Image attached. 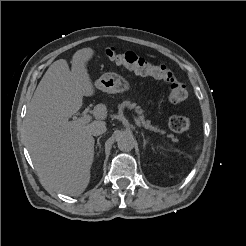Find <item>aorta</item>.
<instances>
[{
    "label": "aorta",
    "mask_w": 246,
    "mask_h": 246,
    "mask_svg": "<svg viewBox=\"0 0 246 246\" xmlns=\"http://www.w3.org/2000/svg\"><path fill=\"white\" fill-rule=\"evenodd\" d=\"M117 146L121 151L128 152L131 151L134 147V138L132 134L129 133H120L117 138Z\"/></svg>",
    "instance_id": "762f6f07"
}]
</instances>
